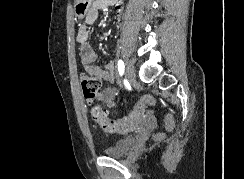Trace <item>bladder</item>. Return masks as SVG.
Masks as SVG:
<instances>
[{
    "mask_svg": "<svg viewBox=\"0 0 244 179\" xmlns=\"http://www.w3.org/2000/svg\"><path fill=\"white\" fill-rule=\"evenodd\" d=\"M136 140V136L119 139L114 146L105 149V154L111 158L124 157L132 152Z\"/></svg>",
    "mask_w": 244,
    "mask_h": 179,
    "instance_id": "31cf9c89",
    "label": "bladder"
}]
</instances>
